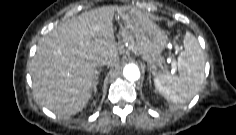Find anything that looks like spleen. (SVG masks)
Masks as SVG:
<instances>
[{
  "label": "spleen",
  "instance_id": "obj_1",
  "mask_svg": "<svg viewBox=\"0 0 236 135\" xmlns=\"http://www.w3.org/2000/svg\"><path fill=\"white\" fill-rule=\"evenodd\" d=\"M184 50L177 60V74L162 71L154 78L157 90L169 101L186 103L199 91L204 81L205 57L198 40L187 33Z\"/></svg>",
  "mask_w": 236,
  "mask_h": 135
}]
</instances>
